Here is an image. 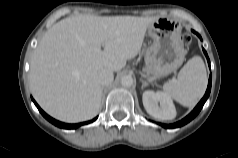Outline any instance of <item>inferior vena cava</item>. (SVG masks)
I'll list each match as a JSON object with an SVG mask.
<instances>
[{
	"mask_svg": "<svg viewBox=\"0 0 238 158\" xmlns=\"http://www.w3.org/2000/svg\"><path fill=\"white\" fill-rule=\"evenodd\" d=\"M114 79L113 71L109 69H101L97 74V81L101 86H107Z\"/></svg>",
	"mask_w": 238,
	"mask_h": 158,
	"instance_id": "obj_1",
	"label": "inferior vena cava"
}]
</instances>
